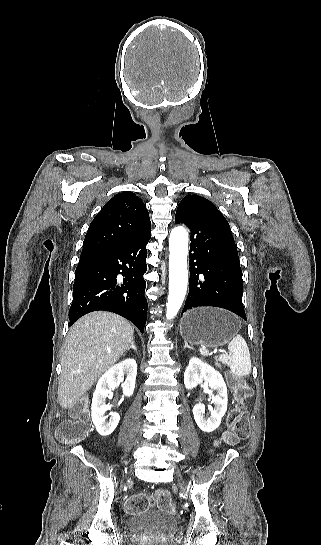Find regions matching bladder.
Instances as JSON below:
<instances>
[{
  "label": "bladder",
  "mask_w": 321,
  "mask_h": 545,
  "mask_svg": "<svg viewBox=\"0 0 321 545\" xmlns=\"http://www.w3.org/2000/svg\"><path fill=\"white\" fill-rule=\"evenodd\" d=\"M128 534L134 538L169 535L177 527L176 519L170 514L154 509H146L131 514L125 523Z\"/></svg>",
  "instance_id": "1"
}]
</instances>
